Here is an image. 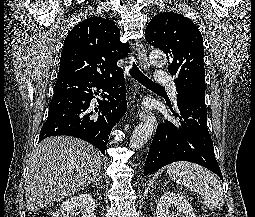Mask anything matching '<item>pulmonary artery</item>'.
<instances>
[{"label": "pulmonary artery", "mask_w": 255, "mask_h": 217, "mask_svg": "<svg viewBox=\"0 0 255 217\" xmlns=\"http://www.w3.org/2000/svg\"><path fill=\"white\" fill-rule=\"evenodd\" d=\"M157 83L159 85H165L170 89L171 96L174 101L177 98L176 86L172 77L165 74H157L156 76Z\"/></svg>", "instance_id": "e3ab8cb5"}]
</instances>
